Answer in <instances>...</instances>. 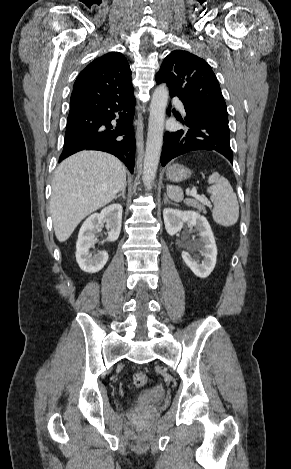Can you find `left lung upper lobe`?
I'll return each instance as SVG.
<instances>
[{"label":"left lung upper lobe","mask_w":291,"mask_h":469,"mask_svg":"<svg viewBox=\"0 0 291 469\" xmlns=\"http://www.w3.org/2000/svg\"><path fill=\"white\" fill-rule=\"evenodd\" d=\"M156 82L167 83L171 95L204 111L228 118L217 78L202 58L183 50L171 52L156 74Z\"/></svg>","instance_id":"obj_1"}]
</instances>
